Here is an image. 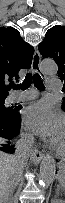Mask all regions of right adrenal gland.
<instances>
[{"instance_id": "2a0ac1e0", "label": "right adrenal gland", "mask_w": 65, "mask_h": 203, "mask_svg": "<svg viewBox=\"0 0 65 203\" xmlns=\"http://www.w3.org/2000/svg\"><path fill=\"white\" fill-rule=\"evenodd\" d=\"M9 203H12V197H11V195L9 197Z\"/></svg>"}]
</instances>
